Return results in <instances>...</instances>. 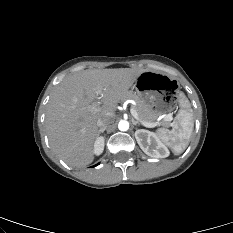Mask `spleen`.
<instances>
[{
  "mask_svg": "<svg viewBox=\"0 0 233 233\" xmlns=\"http://www.w3.org/2000/svg\"><path fill=\"white\" fill-rule=\"evenodd\" d=\"M180 110L175 117L172 129L160 128L158 138L169 146L175 155L181 154L189 145L194 128L193 110L183 93L179 97Z\"/></svg>",
  "mask_w": 233,
  "mask_h": 233,
  "instance_id": "3e777b00",
  "label": "spleen"
}]
</instances>
